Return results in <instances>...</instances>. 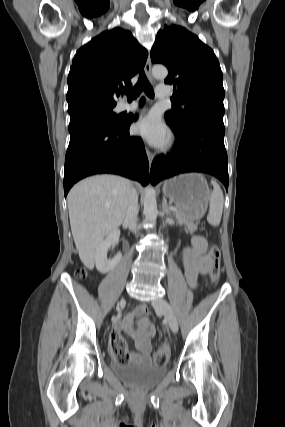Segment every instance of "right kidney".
I'll return each instance as SVG.
<instances>
[{
  "instance_id": "1",
  "label": "right kidney",
  "mask_w": 285,
  "mask_h": 427,
  "mask_svg": "<svg viewBox=\"0 0 285 427\" xmlns=\"http://www.w3.org/2000/svg\"><path fill=\"white\" fill-rule=\"evenodd\" d=\"M119 236H120V231L115 230L110 234H108L105 240H103L99 244L95 254V264H96V269L100 273H103V274L108 273L109 271L113 270L115 266L120 262L122 258L121 253H117L112 260H107L108 249L112 245L118 244Z\"/></svg>"
}]
</instances>
